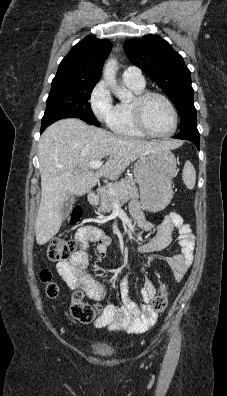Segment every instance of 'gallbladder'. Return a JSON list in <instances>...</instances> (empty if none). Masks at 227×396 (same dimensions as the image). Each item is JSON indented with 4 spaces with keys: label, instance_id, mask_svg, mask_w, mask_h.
Masks as SVG:
<instances>
[{
    "label": "gallbladder",
    "instance_id": "obj_1",
    "mask_svg": "<svg viewBox=\"0 0 227 396\" xmlns=\"http://www.w3.org/2000/svg\"><path fill=\"white\" fill-rule=\"evenodd\" d=\"M74 203V196L73 195H68L61 207V217L62 219H65L68 217V215L71 212L72 205Z\"/></svg>",
    "mask_w": 227,
    "mask_h": 396
}]
</instances>
